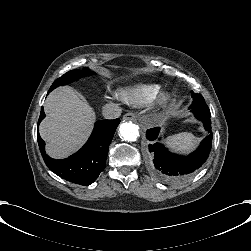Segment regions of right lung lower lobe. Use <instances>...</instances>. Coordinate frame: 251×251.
<instances>
[{
    "mask_svg": "<svg viewBox=\"0 0 251 251\" xmlns=\"http://www.w3.org/2000/svg\"><path fill=\"white\" fill-rule=\"evenodd\" d=\"M44 117L42 107L37 125V141L47 167L72 183L84 186L93 183L105 168L109 144L120 119L97 121L89 140L77 153L66 159L56 160L45 153V143L38 132L39 123Z\"/></svg>",
    "mask_w": 251,
    "mask_h": 251,
    "instance_id": "obj_1",
    "label": "right lung lower lobe"
}]
</instances>
